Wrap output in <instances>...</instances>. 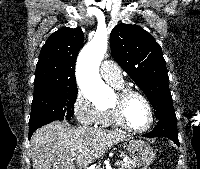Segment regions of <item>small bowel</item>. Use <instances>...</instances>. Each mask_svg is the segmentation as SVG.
Listing matches in <instances>:
<instances>
[{
    "instance_id": "obj_1",
    "label": "small bowel",
    "mask_w": 200,
    "mask_h": 169,
    "mask_svg": "<svg viewBox=\"0 0 200 169\" xmlns=\"http://www.w3.org/2000/svg\"><path fill=\"white\" fill-rule=\"evenodd\" d=\"M142 169H150V168L144 167V168H142Z\"/></svg>"
}]
</instances>
